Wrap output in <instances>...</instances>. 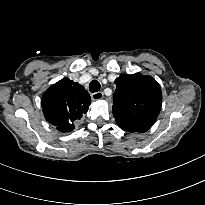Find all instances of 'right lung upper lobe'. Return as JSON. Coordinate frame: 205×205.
Instances as JSON below:
<instances>
[{"label": "right lung upper lobe", "instance_id": "obj_1", "mask_svg": "<svg viewBox=\"0 0 205 205\" xmlns=\"http://www.w3.org/2000/svg\"><path fill=\"white\" fill-rule=\"evenodd\" d=\"M41 104L46 120L57 130L69 132L88 111L91 98L82 85L63 78L44 92Z\"/></svg>", "mask_w": 205, "mask_h": 205}]
</instances>
